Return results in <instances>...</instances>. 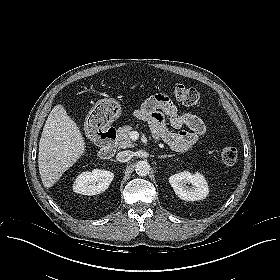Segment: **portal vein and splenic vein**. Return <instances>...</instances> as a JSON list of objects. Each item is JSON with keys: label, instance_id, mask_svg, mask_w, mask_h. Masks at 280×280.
Wrapping results in <instances>:
<instances>
[{"label": "portal vein and splenic vein", "instance_id": "obj_1", "mask_svg": "<svg viewBox=\"0 0 280 280\" xmlns=\"http://www.w3.org/2000/svg\"><path fill=\"white\" fill-rule=\"evenodd\" d=\"M130 136H131V138H132L133 140H136V139L139 137V134H138V132H136V131H132V132L130 133Z\"/></svg>", "mask_w": 280, "mask_h": 280}]
</instances>
